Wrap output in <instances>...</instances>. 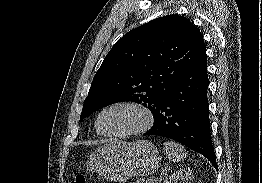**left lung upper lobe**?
Wrapping results in <instances>:
<instances>
[{
  "label": "left lung upper lobe",
  "instance_id": "1",
  "mask_svg": "<svg viewBox=\"0 0 262 183\" xmlns=\"http://www.w3.org/2000/svg\"><path fill=\"white\" fill-rule=\"evenodd\" d=\"M205 50L201 32L183 16H163L131 30L104 58L80 121L122 101L142 103L154 117L179 77Z\"/></svg>",
  "mask_w": 262,
  "mask_h": 183
}]
</instances>
